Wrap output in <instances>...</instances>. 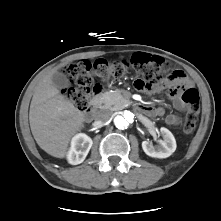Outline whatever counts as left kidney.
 <instances>
[{"label":"left kidney","mask_w":221,"mask_h":221,"mask_svg":"<svg viewBox=\"0 0 221 221\" xmlns=\"http://www.w3.org/2000/svg\"><path fill=\"white\" fill-rule=\"evenodd\" d=\"M160 132L163 137V141L160 145L155 147L149 141L142 142L143 151L150 157L154 158H167L173 154L176 150V140L173 134L167 129L162 127Z\"/></svg>","instance_id":"5707ae66"}]
</instances>
